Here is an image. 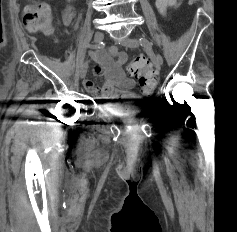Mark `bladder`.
Returning <instances> with one entry per match:
<instances>
[{"label": "bladder", "instance_id": "31cf9c89", "mask_svg": "<svg viewBox=\"0 0 237 232\" xmlns=\"http://www.w3.org/2000/svg\"><path fill=\"white\" fill-rule=\"evenodd\" d=\"M102 106L113 117L127 118L136 115L143 107L140 100H110L102 102Z\"/></svg>", "mask_w": 237, "mask_h": 232}]
</instances>
